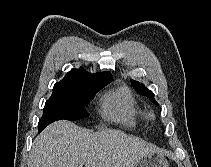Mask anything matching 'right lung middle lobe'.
<instances>
[{"label":"right lung middle lobe","instance_id":"obj_1","mask_svg":"<svg viewBox=\"0 0 211 167\" xmlns=\"http://www.w3.org/2000/svg\"><path fill=\"white\" fill-rule=\"evenodd\" d=\"M109 82H86L66 88L53 89L51 97L45 103L42 118L38 123L39 132L57 120L86 118L88 113L84 107Z\"/></svg>","mask_w":211,"mask_h":167}]
</instances>
